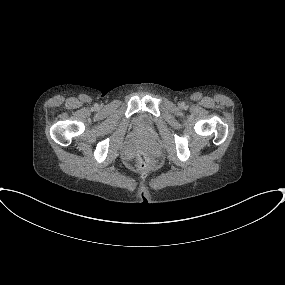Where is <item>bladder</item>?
I'll use <instances>...</instances> for the list:
<instances>
[{"label":"bladder","mask_w":285,"mask_h":285,"mask_svg":"<svg viewBox=\"0 0 285 285\" xmlns=\"http://www.w3.org/2000/svg\"><path fill=\"white\" fill-rule=\"evenodd\" d=\"M152 127V124L148 121L139 119L136 123V130L138 132L147 131Z\"/></svg>","instance_id":"31cf9c89"}]
</instances>
